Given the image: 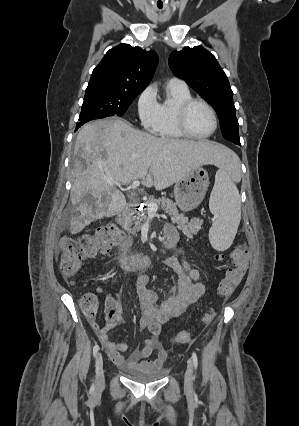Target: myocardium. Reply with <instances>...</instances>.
Listing matches in <instances>:
<instances>
[{
    "label": "myocardium",
    "mask_w": 299,
    "mask_h": 426,
    "mask_svg": "<svg viewBox=\"0 0 299 426\" xmlns=\"http://www.w3.org/2000/svg\"><path fill=\"white\" fill-rule=\"evenodd\" d=\"M195 104L204 105L210 111V113L213 117V122H214L213 129L211 130V132H209L206 135H196V134L192 133L188 128V124H187L188 112H189L190 108ZM176 122H177V127H178L179 131L182 133L183 136L191 138V139H196V140L207 139V138L211 137L212 135H214V133L218 129V116H217L215 109L213 108V106L209 102H207L206 100L201 99V98L192 97V98H189V99L185 100L184 102H182L180 104V106L178 107V110H177Z\"/></svg>",
    "instance_id": "myocardium-1"
}]
</instances>
